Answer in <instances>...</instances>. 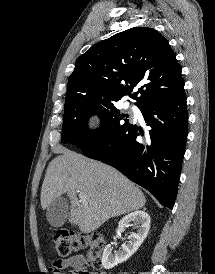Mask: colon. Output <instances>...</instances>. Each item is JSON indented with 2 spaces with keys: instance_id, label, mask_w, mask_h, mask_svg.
Returning <instances> with one entry per match:
<instances>
[{
  "instance_id": "obj_1",
  "label": "colon",
  "mask_w": 215,
  "mask_h": 274,
  "mask_svg": "<svg viewBox=\"0 0 215 274\" xmlns=\"http://www.w3.org/2000/svg\"><path fill=\"white\" fill-rule=\"evenodd\" d=\"M55 249L62 257H67L72 253L86 250V260L88 265L99 270L102 267V254L105 247V239L98 232H74L59 230L53 235ZM81 274H96L88 271Z\"/></svg>"
}]
</instances>
